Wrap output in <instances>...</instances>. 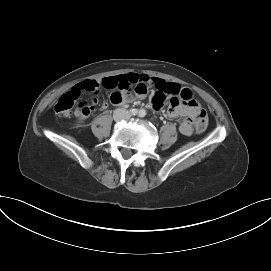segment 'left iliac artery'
<instances>
[{
    "instance_id": "obj_1",
    "label": "left iliac artery",
    "mask_w": 271,
    "mask_h": 271,
    "mask_svg": "<svg viewBox=\"0 0 271 271\" xmlns=\"http://www.w3.org/2000/svg\"><path fill=\"white\" fill-rule=\"evenodd\" d=\"M139 117H145L146 116V111L144 109H140L138 112Z\"/></svg>"
}]
</instances>
